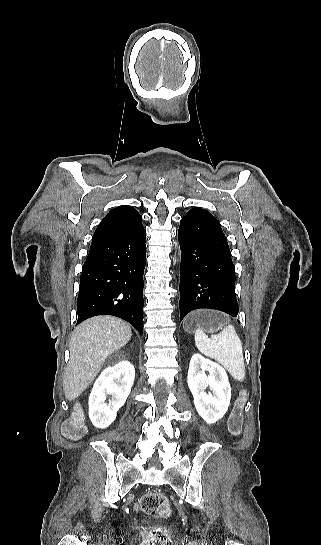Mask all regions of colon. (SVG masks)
Returning <instances> with one entry per match:
<instances>
[{
    "instance_id": "obj_1",
    "label": "colon",
    "mask_w": 321,
    "mask_h": 545,
    "mask_svg": "<svg viewBox=\"0 0 321 545\" xmlns=\"http://www.w3.org/2000/svg\"><path fill=\"white\" fill-rule=\"evenodd\" d=\"M246 396L240 395L234 402L228 421L229 431L233 435H239L243 427V409ZM86 433L84 418L81 413H76L63 425V434L71 439L78 440ZM138 509L154 518H167L170 515L169 503L165 496L157 492L144 494L138 502ZM144 541L142 545H170L166 529L159 525L144 528Z\"/></svg>"
}]
</instances>
